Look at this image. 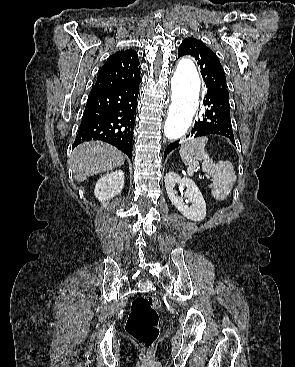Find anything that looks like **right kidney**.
Returning a JSON list of instances; mask_svg holds the SVG:
<instances>
[{
	"mask_svg": "<svg viewBox=\"0 0 295 367\" xmlns=\"http://www.w3.org/2000/svg\"><path fill=\"white\" fill-rule=\"evenodd\" d=\"M124 187V173L116 170L102 176L95 186V196L99 201H105L120 194Z\"/></svg>",
	"mask_w": 295,
	"mask_h": 367,
	"instance_id": "right-kidney-1",
	"label": "right kidney"
}]
</instances>
